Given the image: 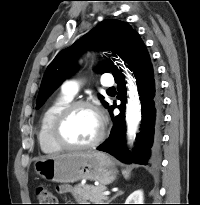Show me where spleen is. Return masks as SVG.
<instances>
[{"label":"spleen","mask_w":200,"mask_h":205,"mask_svg":"<svg viewBox=\"0 0 200 205\" xmlns=\"http://www.w3.org/2000/svg\"><path fill=\"white\" fill-rule=\"evenodd\" d=\"M123 174H124V176L126 177V178H128V174H127V172L126 171H123Z\"/></svg>","instance_id":"spleen-1"}]
</instances>
